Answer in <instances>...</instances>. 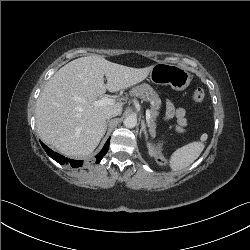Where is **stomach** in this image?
<instances>
[{"label": "stomach", "mask_w": 250, "mask_h": 250, "mask_svg": "<svg viewBox=\"0 0 250 250\" xmlns=\"http://www.w3.org/2000/svg\"><path fill=\"white\" fill-rule=\"evenodd\" d=\"M152 82L169 85L172 89L182 91L186 89L190 82V73L183 67L158 63L153 66L150 72Z\"/></svg>", "instance_id": "1"}]
</instances>
